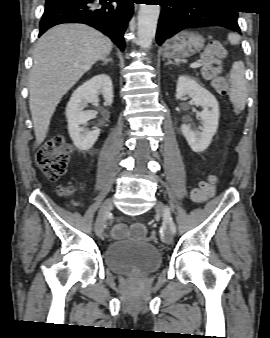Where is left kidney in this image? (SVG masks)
Instances as JSON below:
<instances>
[{"label": "left kidney", "mask_w": 270, "mask_h": 338, "mask_svg": "<svg viewBox=\"0 0 270 338\" xmlns=\"http://www.w3.org/2000/svg\"><path fill=\"white\" fill-rule=\"evenodd\" d=\"M185 95L192 98L196 105L203 107L200 113L202 121L201 131H194L189 125L182 124L181 131L191 149L200 153L208 148L218 128L219 106L216 98L194 79L187 76H179L176 88V98L181 99Z\"/></svg>", "instance_id": "left-kidney-1"}]
</instances>
